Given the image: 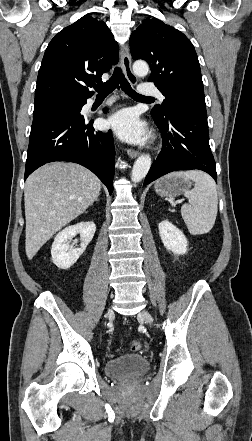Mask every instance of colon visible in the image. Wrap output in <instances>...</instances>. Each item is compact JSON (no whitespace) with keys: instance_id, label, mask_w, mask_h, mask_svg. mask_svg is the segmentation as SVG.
<instances>
[{"instance_id":"colon-1","label":"colon","mask_w":252,"mask_h":441,"mask_svg":"<svg viewBox=\"0 0 252 441\" xmlns=\"http://www.w3.org/2000/svg\"><path fill=\"white\" fill-rule=\"evenodd\" d=\"M142 348V343L139 340H133L130 344V349L132 351H140Z\"/></svg>"}]
</instances>
